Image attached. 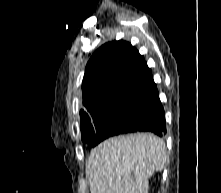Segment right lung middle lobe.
<instances>
[{
	"mask_svg": "<svg viewBox=\"0 0 221 193\" xmlns=\"http://www.w3.org/2000/svg\"><path fill=\"white\" fill-rule=\"evenodd\" d=\"M151 110L147 100L124 99L100 108L93 115L81 119L84 143L91 147L119 135L141 120Z\"/></svg>",
	"mask_w": 221,
	"mask_h": 193,
	"instance_id": "right-lung-middle-lobe-1",
	"label": "right lung middle lobe"
}]
</instances>
